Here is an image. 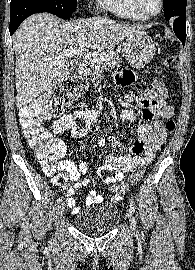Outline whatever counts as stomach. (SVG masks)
Returning a JSON list of instances; mask_svg holds the SVG:
<instances>
[{"label": "stomach", "instance_id": "0dacf381", "mask_svg": "<svg viewBox=\"0 0 195 270\" xmlns=\"http://www.w3.org/2000/svg\"><path fill=\"white\" fill-rule=\"evenodd\" d=\"M156 44L145 32L134 33L125 38L123 54L128 63L143 68L155 55Z\"/></svg>", "mask_w": 195, "mask_h": 270}]
</instances>
